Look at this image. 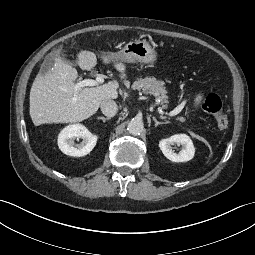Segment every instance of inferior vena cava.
<instances>
[{"mask_svg":"<svg viewBox=\"0 0 255 255\" xmlns=\"http://www.w3.org/2000/svg\"><path fill=\"white\" fill-rule=\"evenodd\" d=\"M101 111L108 117H113L118 112V105L115 101L109 99L101 102Z\"/></svg>","mask_w":255,"mask_h":255,"instance_id":"1","label":"inferior vena cava"}]
</instances>
